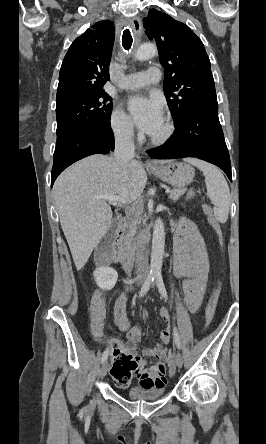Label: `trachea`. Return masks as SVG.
<instances>
[{"mask_svg":"<svg viewBox=\"0 0 266 444\" xmlns=\"http://www.w3.org/2000/svg\"><path fill=\"white\" fill-rule=\"evenodd\" d=\"M133 38L129 29L124 30L122 35V45L125 50H130L132 46Z\"/></svg>","mask_w":266,"mask_h":444,"instance_id":"3493384b","label":"trachea"}]
</instances>
